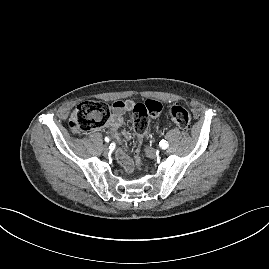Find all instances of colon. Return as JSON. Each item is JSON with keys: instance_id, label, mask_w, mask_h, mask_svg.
Wrapping results in <instances>:
<instances>
[{"instance_id": "obj_1", "label": "colon", "mask_w": 269, "mask_h": 269, "mask_svg": "<svg viewBox=\"0 0 269 269\" xmlns=\"http://www.w3.org/2000/svg\"><path fill=\"white\" fill-rule=\"evenodd\" d=\"M162 105L155 100H147L135 104L133 108V130L141 139L148 130L149 118L158 115ZM167 115L174 124L182 129H188L191 122V115L187 109L180 105H172L167 109ZM110 116L109 106L103 102L85 101L76 106L73 110L69 127L73 134L82 135L93 129L106 124ZM140 154L136 155V164H141Z\"/></svg>"}]
</instances>
